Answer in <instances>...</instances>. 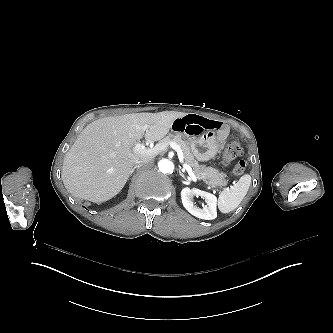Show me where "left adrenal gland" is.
Here are the masks:
<instances>
[{
	"label": "left adrenal gland",
	"instance_id": "obj_1",
	"mask_svg": "<svg viewBox=\"0 0 333 333\" xmlns=\"http://www.w3.org/2000/svg\"><path fill=\"white\" fill-rule=\"evenodd\" d=\"M179 174H180V176H182L185 179V181H188L187 177L180 169H179Z\"/></svg>",
	"mask_w": 333,
	"mask_h": 333
}]
</instances>
